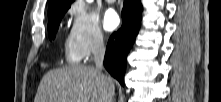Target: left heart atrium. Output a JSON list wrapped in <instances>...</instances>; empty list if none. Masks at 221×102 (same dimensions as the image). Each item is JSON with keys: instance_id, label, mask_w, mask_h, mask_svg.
<instances>
[{"instance_id": "1", "label": "left heart atrium", "mask_w": 221, "mask_h": 102, "mask_svg": "<svg viewBox=\"0 0 221 102\" xmlns=\"http://www.w3.org/2000/svg\"><path fill=\"white\" fill-rule=\"evenodd\" d=\"M120 23V18L115 10L108 9L103 17V25L107 31H112Z\"/></svg>"}]
</instances>
